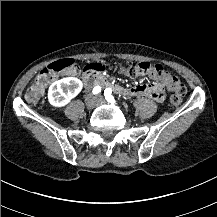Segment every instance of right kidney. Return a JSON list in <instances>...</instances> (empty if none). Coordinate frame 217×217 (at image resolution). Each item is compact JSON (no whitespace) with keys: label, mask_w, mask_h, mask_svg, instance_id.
Masks as SVG:
<instances>
[{"label":"right kidney","mask_w":217,"mask_h":217,"mask_svg":"<svg viewBox=\"0 0 217 217\" xmlns=\"http://www.w3.org/2000/svg\"><path fill=\"white\" fill-rule=\"evenodd\" d=\"M82 87V81L75 77H67L58 80L49 88V102L56 107L64 106L80 93Z\"/></svg>","instance_id":"right-kidney-1"}]
</instances>
